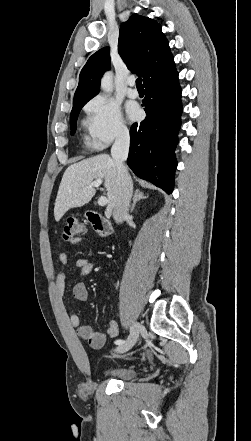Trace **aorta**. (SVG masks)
I'll return each mask as SVG.
<instances>
[{
	"label": "aorta",
	"mask_w": 251,
	"mask_h": 441,
	"mask_svg": "<svg viewBox=\"0 0 251 441\" xmlns=\"http://www.w3.org/2000/svg\"><path fill=\"white\" fill-rule=\"evenodd\" d=\"M101 89L106 93L113 91V81L111 73H105L101 80Z\"/></svg>",
	"instance_id": "obj_1"
}]
</instances>
